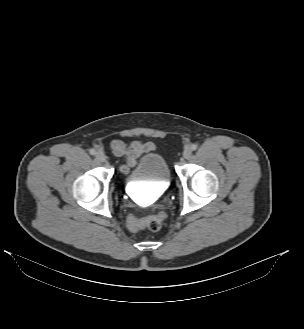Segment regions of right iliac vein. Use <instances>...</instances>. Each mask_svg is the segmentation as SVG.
<instances>
[{"instance_id": "right-iliac-vein-1", "label": "right iliac vein", "mask_w": 304, "mask_h": 329, "mask_svg": "<svg viewBox=\"0 0 304 329\" xmlns=\"http://www.w3.org/2000/svg\"><path fill=\"white\" fill-rule=\"evenodd\" d=\"M96 159L100 162H104L106 160V156L102 151H98L96 153Z\"/></svg>"}]
</instances>
